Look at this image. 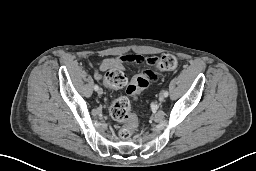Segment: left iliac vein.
I'll list each match as a JSON object with an SVG mask.
<instances>
[{
  "instance_id": "obj_1",
  "label": "left iliac vein",
  "mask_w": 256,
  "mask_h": 171,
  "mask_svg": "<svg viewBox=\"0 0 256 171\" xmlns=\"http://www.w3.org/2000/svg\"><path fill=\"white\" fill-rule=\"evenodd\" d=\"M159 101L160 102H164L165 101V96L163 95V93L160 95Z\"/></svg>"
}]
</instances>
